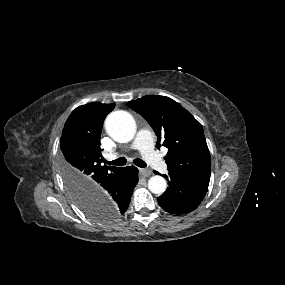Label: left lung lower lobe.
Instances as JSON below:
<instances>
[{
  "instance_id": "left-lung-lower-lobe-1",
  "label": "left lung lower lobe",
  "mask_w": 285,
  "mask_h": 285,
  "mask_svg": "<svg viewBox=\"0 0 285 285\" xmlns=\"http://www.w3.org/2000/svg\"><path fill=\"white\" fill-rule=\"evenodd\" d=\"M162 176L168 181L169 187L157 198V201L165 211L172 214H185L196 209L202 202L209 185L184 179L171 172L168 176Z\"/></svg>"
}]
</instances>
